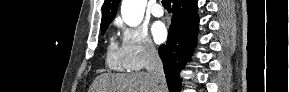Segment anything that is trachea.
<instances>
[{"label": "trachea", "mask_w": 289, "mask_h": 92, "mask_svg": "<svg viewBox=\"0 0 289 92\" xmlns=\"http://www.w3.org/2000/svg\"><path fill=\"white\" fill-rule=\"evenodd\" d=\"M162 5L167 11H171V0H162Z\"/></svg>", "instance_id": "trachea-1"}]
</instances>
